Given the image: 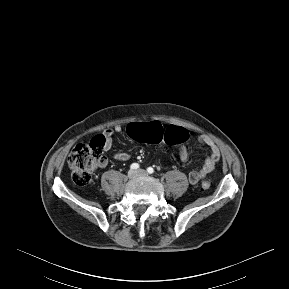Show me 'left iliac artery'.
<instances>
[{
	"instance_id": "44dca946",
	"label": "left iliac artery",
	"mask_w": 289,
	"mask_h": 289,
	"mask_svg": "<svg viewBox=\"0 0 289 289\" xmlns=\"http://www.w3.org/2000/svg\"><path fill=\"white\" fill-rule=\"evenodd\" d=\"M147 172H148L149 174H152V173H154V169H153L152 167H148V168H147Z\"/></svg>"
}]
</instances>
